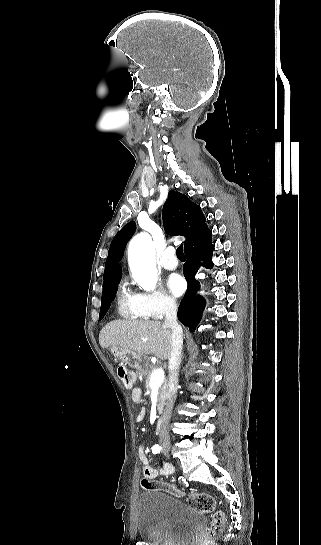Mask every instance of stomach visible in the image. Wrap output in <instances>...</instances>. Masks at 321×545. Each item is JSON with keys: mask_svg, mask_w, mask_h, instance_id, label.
<instances>
[{"mask_svg": "<svg viewBox=\"0 0 321 545\" xmlns=\"http://www.w3.org/2000/svg\"><path fill=\"white\" fill-rule=\"evenodd\" d=\"M111 355L115 359H119L122 363H127L129 367L135 369L137 373H146L150 367V359L148 355H137L134 351L129 349H121V347H110Z\"/></svg>", "mask_w": 321, "mask_h": 545, "instance_id": "obj_1", "label": "stomach"}]
</instances>
